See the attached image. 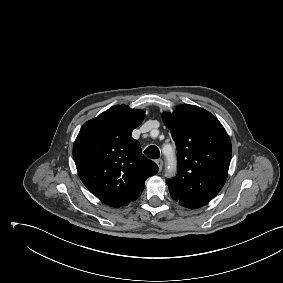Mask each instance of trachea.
<instances>
[{"label":"trachea","mask_w":283,"mask_h":283,"mask_svg":"<svg viewBox=\"0 0 283 283\" xmlns=\"http://www.w3.org/2000/svg\"><path fill=\"white\" fill-rule=\"evenodd\" d=\"M144 154L151 158V159H157L160 156L159 149L156 146H149L144 150Z\"/></svg>","instance_id":"trachea-1"}]
</instances>
